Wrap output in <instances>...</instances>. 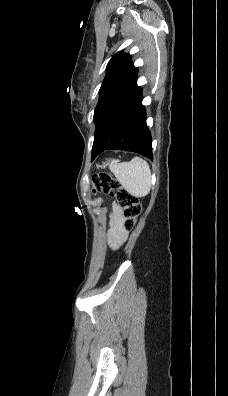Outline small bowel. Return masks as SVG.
Segmentation results:
<instances>
[{
  "mask_svg": "<svg viewBox=\"0 0 228 396\" xmlns=\"http://www.w3.org/2000/svg\"><path fill=\"white\" fill-rule=\"evenodd\" d=\"M123 223L124 218L121 215L120 209L114 206L111 218V230L109 232V243L114 248L120 246L125 238L126 229Z\"/></svg>",
  "mask_w": 228,
  "mask_h": 396,
  "instance_id": "obj_1",
  "label": "small bowel"
}]
</instances>
